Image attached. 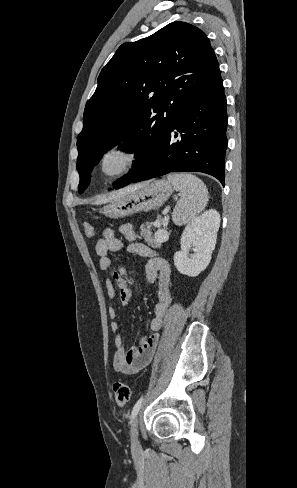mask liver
<instances>
[{
    "label": "liver",
    "instance_id": "obj_1",
    "mask_svg": "<svg viewBox=\"0 0 297 488\" xmlns=\"http://www.w3.org/2000/svg\"><path fill=\"white\" fill-rule=\"evenodd\" d=\"M146 185H148V183H142V184H137V185H133V186H129L127 188H124L122 190H119L118 192H113V193H110V194H107L106 196H104L101 201H104V202H108V201H113V200H116L118 198H120L121 196L127 194V193H130V192H134L140 188H143L145 187Z\"/></svg>",
    "mask_w": 297,
    "mask_h": 488
}]
</instances>
